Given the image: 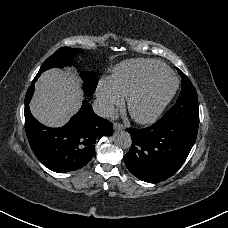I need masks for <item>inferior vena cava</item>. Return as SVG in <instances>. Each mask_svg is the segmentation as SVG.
Listing matches in <instances>:
<instances>
[{
	"label": "inferior vena cava",
	"instance_id": "602c4592",
	"mask_svg": "<svg viewBox=\"0 0 228 228\" xmlns=\"http://www.w3.org/2000/svg\"><path fill=\"white\" fill-rule=\"evenodd\" d=\"M95 114L101 117H109L115 110L114 105L104 97H98L92 104Z\"/></svg>",
	"mask_w": 228,
	"mask_h": 228
}]
</instances>
